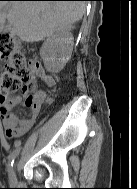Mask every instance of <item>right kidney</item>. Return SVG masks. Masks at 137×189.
<instances>
[{
  "instance_id": "ca27d5eb",
  "label": "right kidney",
  "mask_w": 137,
  "mask_h": 189,
  "mask_svg": "<svg viewBox=\"0 0 137 189\" xmlns=\"http://www.w3.org/2000/svg\"><path fill=\"white\" fill-rule=\"evenodd\" d=\"M74 38L69 30H60L49 36L40 49L47 71L58 73L71 57Z\"/></svg>"
}]
</instances>
